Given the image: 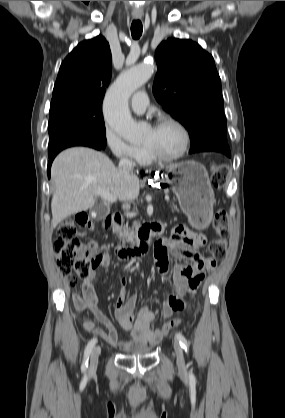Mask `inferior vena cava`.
Returning a JSON list of instances; mask_svg holds the SVG:
<instances>
[{
    "mask_svg": "<svg viewBox=\"0 0 285 418\" xmlns=\"http://www.w3.org/2000/svg\"><path fill=\"white\" fill-rule=\"evenodd\" d=\"M135 163L127 158H122L119 162L120 169L129 176H135L134 167ZM129 215V214H128Z\"/></svg>",
    "mask_w": 285,
    "mask_h": 418,
    "instance_id": "602c4592",
    "label": "inferior vena cava"
}]
</instances>
